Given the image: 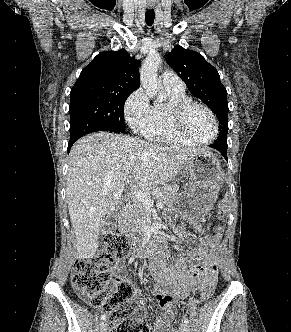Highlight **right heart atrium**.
Segmentation results:
<instances>
[{"label": "right heart atrium", "mask_w": 291, "mask_h": 332, "mask_svg": "<svg viewBox=\"0 0 291 332\" xmlns=\"http://www.w3.org/2000/svg\"><path fill=\"white\" fill-rule=\"evenodd\" d=\"M151 106L145 92L139 88L127 99L124 106L125 119L136 131L146 127L150 121Z\"/></svg>", "instance_id": "d8ad5b80"}]
</instances>
